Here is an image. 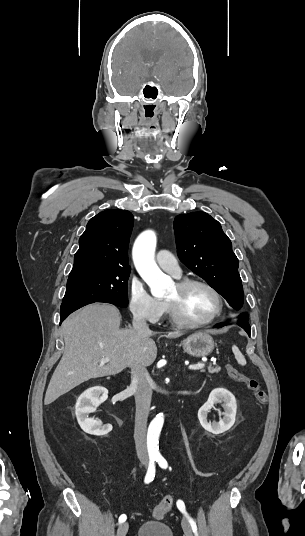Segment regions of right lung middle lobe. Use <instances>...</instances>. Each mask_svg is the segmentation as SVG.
<instances>
[{
  "mask_svg": "<svg viewBox=\"0 0 305 536\" xmlns=\"http://www.w3.org/2000/svg\"><path fill=\"white\" fill-rule=\"evenodd\" d=\"M130 271L94 272L69 277L62 304L107 302L128 305L127 284Z\"/></svg>",
  "mask_w": 305,
  "mask_h": 536,
  "instance_id": "dd1d6c3e",
  "label": "right lung middle lobe"
}]
</instances>
